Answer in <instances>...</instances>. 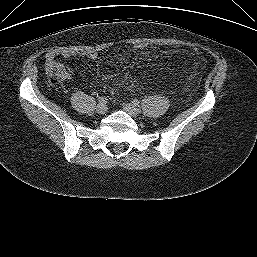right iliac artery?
Masks as SVG:
<instances>
[{
    "label": "right iliac artery",
    "instance_id": "82829eb1",
    "mask_svg": "<svg viewBox=\"0 0 257 257\" xmlns=\"http://www.w3.org/2000/svg\"><path fill=\"white\" fill-rule=\"evenodd\" d=\"M99 103H107L108 99L106 97H99L98 98Z\"/></svg>",
    "mask_w": 257,
    "mask_h": 257
}]
</instances>
